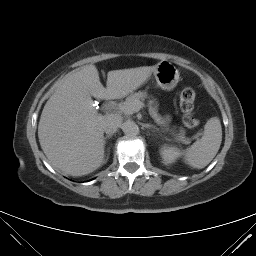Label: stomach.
<instances>
[{"instance_id": "0dacf381", "label": "stomach", "mask_w": 256, "mask_h": 256, "mask_svg": "<svg viewBox=\"0 0 256 256\" xmlns=\"http://www.w3.org/2000/svg\"><path fill=\"white\" fill-rule=\"evenodd\" d=\"M152 74L157 82V85L163 90L167 91L175 88L180 79L178 69L167 60H162L157 65L153 66L151 75Z\"/></svg>"}]
</instances>
